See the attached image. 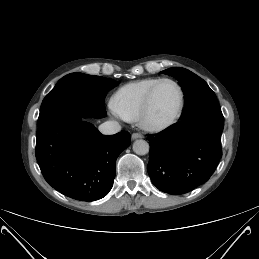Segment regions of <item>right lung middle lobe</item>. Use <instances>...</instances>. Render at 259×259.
<instances>
[{
	"label": "right lung middle lobe",
	"instance_id": "obj_1",
	"mask_svg": "<svg viewBox=\"0 0 259 259\" xmlns=\"http://www.w3.org/2000/svg\"><path fill=\"white\" fill-rule=\"evenodd\" d=\"M118 82L100 76L71 73L61 78L44 98L38 123L49 117L70 113L86 118H103L104 96Z\"/></svg>",
	"mask_w": 259,
	"mask_h": 259
}]
</instances>
